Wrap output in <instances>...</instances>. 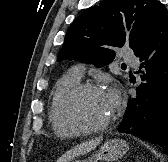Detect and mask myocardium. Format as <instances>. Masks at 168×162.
I'll use <instances>...</instances> for the list:
<instances>
[{"label":"myocardium","instance_id":"myocardium-1","mask_svg":"<svg viewBox=\"0 0 168 162\" xmlns=\"http://www.w3.org/2000/svg\"><path fill=\"white\" fill-rule=\"evenodd\" d=\"M87 91L104 92V90L93 83H78L63 96L60 104V112L62 117L73 127L81 132H100L108 129L115 120V112L111 117L102 124L90 125L85 123L75 112L74 102L78 96Z\"/></svg>","mask_w":168,"mask_h":162}]
</instances>
